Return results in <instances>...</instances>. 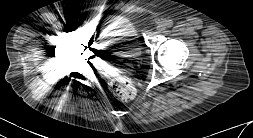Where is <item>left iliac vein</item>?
<instances>
[{
	"mask_svg": "<svg viewBox=\"0 0 253 138\" xmlns=\"http://www.w3.org/2000/svg\"><path fill=\"white\" fill-rule=\"evenodd\" d=\"M165 29V24L164 23H160L159 25H158V30L159 31H162V30H164Z\"/></svg>",
	"mask_w": 253,
	"mask_h": 138,
	"instance_id": "4c4485c4",
	"label": "left iliac vein"
}]
</instances>
